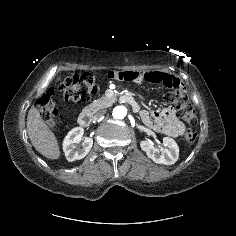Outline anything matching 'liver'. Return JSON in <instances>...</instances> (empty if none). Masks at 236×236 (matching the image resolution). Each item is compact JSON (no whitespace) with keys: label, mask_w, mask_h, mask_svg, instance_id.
Listing matches in <instances>:
<instances>
[{"label":"liver","mask_w":236,"mask_h":236,"mask_svg":"<svg viewBox=\"0 0 236 236\" xmlns=\"http://www.w3.org/2000/svg\"><path fill=\"white\" fill-rule=\"evenodd\" d=\"M27 133L35 149L48 159H58L60 148L57 138L49 129L35 106H32L27 116Z\"/></svg>","instance_id":"6515ba94"}]
</instances>
